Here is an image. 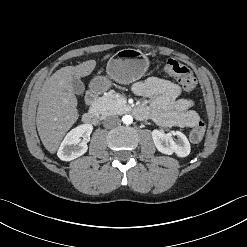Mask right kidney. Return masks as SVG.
<instances>
[{"instance_id": "right-kidney-1", "label": "right kidney", "mask_w": 247, "mask_h": 247, "mask_svg": "<svg viewBox=\"0 0 247 247\" xmlns=\"http://www.w3.org/2000/svg\"><path fill=\"white\" fill-rule=\"evenodd\" d=\"M92 130L91 124H82L72 129L62 141L57 156L63 161H71L85 154Z\"/></svg>"}]
</instances>
